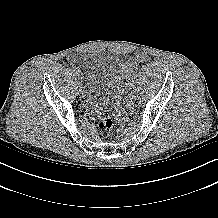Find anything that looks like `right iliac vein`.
Instances as JSON below:
<instances>
[{"instance_id": "1", "label": "right iliac vein", "mask_w": 218, "mask_h": 218, "mask_svg": "<svg viewBox=\"0 0 218 218\" xmlns=\"http://www.w3.org/2000/svg\"><path fill=\"white\" fill-rule=\"evenodd\" d=\"M78 77H79V75H78ZM81 85H82V84H81V82H80V80H79V81H78V86L81 87Z\"/></svg>"}]
</instances>
